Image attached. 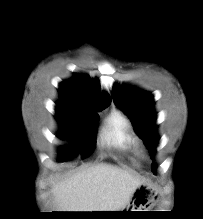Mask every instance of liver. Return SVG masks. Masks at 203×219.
I'll list each match as a JSON object with an SVG mask.
<instances>
[{
	"label": "liver",
	"instance_id": "liver-1",
	"mask_svg": "<svg viewBox=\"0 0 203 219\" xmlns=\"http://www.w3.org/2000/svg\"><path fill=\"white\" fill-rule=\"evenodd\" d=\"M141 184L122 168L100 163L54 185L52 193L61 212L120 211Z\"/></svg>",
	"mask_w": 203,
	"mask_h": 219
}]
</instances>
